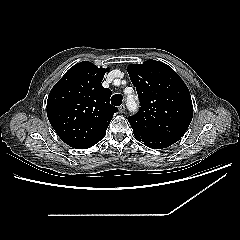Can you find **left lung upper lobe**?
Listing matches in <instances>:
<instances>
[{"label":"left lung upper lobe","instance_id":"left-lung-upper-lobe-1","mask_svg":"<svg viewBox=\"0 0 240 240\" xmlns=\"http://www.w3.org/2000/svg\"><path fill=\"white\" fill-rule=\"evenodd\" d=\"M140 99L137 114L128 117L134 133L182 137L193 117L189 89L167 64L148 60L127 67Z\"/></svg>","mask_w":240,"mask_h":240}]
</instances>
